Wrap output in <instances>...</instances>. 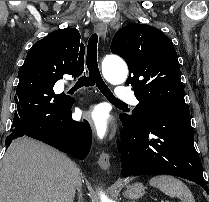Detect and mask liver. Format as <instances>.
<instances>
[{"instance_id":"1","label":"liver","mask_w":209,"mask_h":202,"mask_svg":"<svg viewBox=\"0 0 209 202\" xmlns=\"http://www.w3.org/2000/svg\"><path fill=\"white\" fill-rule=\"evenodd\" d=\"M80 176L77 165L63 153L19 138L0 163V202H73Z\"/></svg>"}]
</instances>
